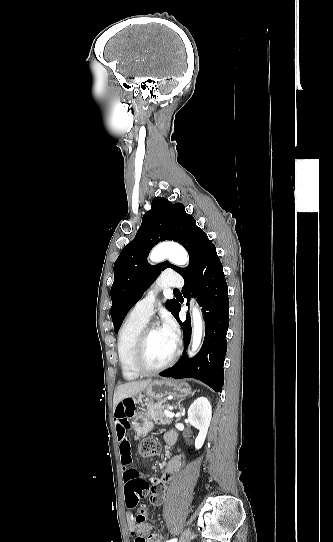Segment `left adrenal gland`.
I'll use <instances>...</instances> for the list:
<instances>
[{
  "label": "left adrenal gland",
  "instance_id": "a2214340",
  "mask_svg": "<svg viewBox=\"0 0 333 542\" xmlns=\"http://www.w3.org/2000/svg\"><path fill=\"white\" fill-rule=\"evenodd\" d=\"M181 402H182V400H179V402H177V408H178V410H180V412H182ZM175 408H176V406H175ZM177 408H176V410H177ZM178 420H179V418H178Z\"/></svg>",
  "mask_w": 333,
  "mask_h": 542
}]
</instances>
